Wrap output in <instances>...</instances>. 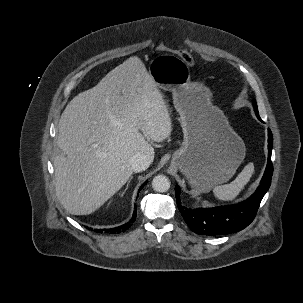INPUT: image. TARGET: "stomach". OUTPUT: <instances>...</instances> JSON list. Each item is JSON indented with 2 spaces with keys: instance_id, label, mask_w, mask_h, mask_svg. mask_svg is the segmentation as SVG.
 Returning <instances> with one entry per match:
<instances>
[{
  "instance_id": "0dacf381",
  "label": "stomach",
  "mask_w": 303,
  "mask_h": 303,
  "mask_svg": "<svg viewBox=\"0 0 303 303\" xmlns=\"http://www.w3.org/2000/svg\"><path fill=\"white\" fill-rule=\"evenodd\" d=\"M149 74L157 88L172 92L180 114L184 141L171 165L201 192L229 181L244 160L246 148L227 117L212 104L209 88L191 82L188 65L174 55L155 57Z\"/></svg>"
}]
</instances>
